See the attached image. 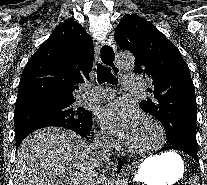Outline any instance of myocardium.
Listing matches in <instances>:
<instances>
[{
    "instance_id": "1",
    "label": "myocardium",
    "mask_w": 207,
    "mask_h": 185,
    "mask_svg": "<svg viewBox=\"0 0 207 185\" xmlns=\"http://www.w3.org/2000/svg\"><path fill=\"white\" fill-rule=\"evenodd\" d=\"M145 122L147 124L153 126L157 130L161 139L167 138L166 130L159 121H157L155 119H146ZM125 147L130 153H132L134 155L145 156L149 153V150H140V149L134 148L128 140L125 141Z\"/></svg>"
}]
</instances>
